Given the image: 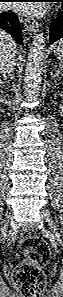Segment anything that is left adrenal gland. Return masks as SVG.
Returning a JSON list of instances; mask_svg holds the SVG:
<instances>
[{
    "label": "left adrenal gland",
    "instance_id": "1",
    "mask_svg": "<svg viewBox=\"0 0 63 297\" xmlns=\"http://www.w3.org/2000/svg\"><path fill=\"white\" fill-rule=\"evenodd\" d=\"M53 70L55 72L53 78L59 77L61 74V71L59 70V68L57 66H55Z\"/></svg>",
    "mask_w": 63,
    "mask_h": 297
}]
</instances>
